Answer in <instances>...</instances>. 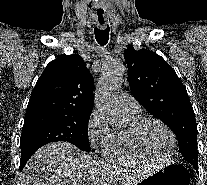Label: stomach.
<instances>
[{
    "mask_svg": "<svg viewBox=\"0 0 207 185\" xmlns=\"http://www.w3.org/2000/svg\"><path fill=\"white\" fill-rule=\"evenodd\" d=\"M140 185H190L189 172L181 164H170L143 179Z\"/></svg>",
    "mask_w": 207,
    "mask_h": 185,
    "instance_id": "obj_1",
    "label": "stomach"
}]
</instances>
